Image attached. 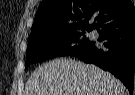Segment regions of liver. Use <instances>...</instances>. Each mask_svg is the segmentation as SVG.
Returning a JSON list of instances; mask_svg holds the SVG:
<instances>
[{"mask_svg": "<svg viewBox=\"0 0 135 95\" xmlns=\"http://www.w3.org/2000/svg\"><path fill=\"white\" fill-rule=\"evenodd\" d=\"M24 95H127L120 80L94 65L55 59L35 70Z\"/></svg>", "mask_w": 135, "mask_h": 95, "instance_id": "1", "label": "liver"}]
</instances>
